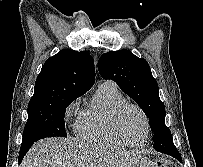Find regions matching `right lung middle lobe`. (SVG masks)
I'll return each mask as SVG.
<instances>
[{
  "label": "right lung middle lobe",
  "instance_id": "obj_1",
  "mask_svg": "<svg viewBox=\"0 0 203 167\" xmlns=\"http://www.w3.org/2000/svg\"><path fill=\"white\" fill-rule=\"evenodd\" d=\"M76 98L66 97L51 103L28 105V120L24 128L22 144L46 137H67L65 112Z\"/></svg>",
  "mask_w": 203,
  "mask_h": 167
}]
</instances>
